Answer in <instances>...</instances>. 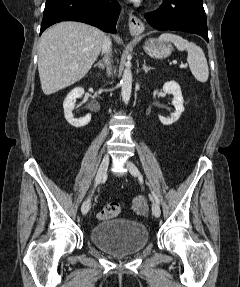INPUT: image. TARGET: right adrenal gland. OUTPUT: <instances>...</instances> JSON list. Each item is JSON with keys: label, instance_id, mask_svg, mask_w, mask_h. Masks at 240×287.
Instances as JSON below:
<instances>
[{"label": "right adrenal gland", "instance_id": "obj_1", "mask_svg": "<svg viewBox=\"0 0 240 287\" xmlns=\"http://www.w3.org/2000/svg\"><path fill=\"white\" fill-rule=\"evenodd\" d=\"M108 57L103 58V61H99L97 64L94 65V67H99L100 69H105L106 65L108 64Z\"/></svg>", "mask_w": 240, "mask_h": 287}]
</instances>
